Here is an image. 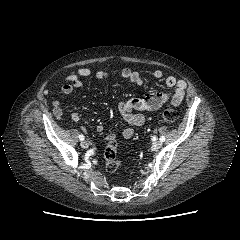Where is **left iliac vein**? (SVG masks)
Wrapping results in <instances>:
<instances>
[{"label": "left iliac vein", "mask_w": 240, "mask_h": 240, "mask_svg": "<svg viewBox=\"0 0 240 240\" xmlns=\"http://www.w3.org/2000/svg\"><path fill=\"white\" fill-rule=\"evenodd\" d=\"M153 147H154L155 149L161 148V147H162V142H161V141H156V142H154Z\"/></svg>", "instance_id": "left-iliac-vein-1"}]
</instances>
